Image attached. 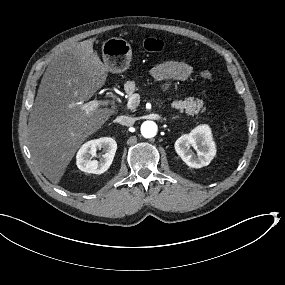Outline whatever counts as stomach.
<instances>
[{"mask_svg": "<svg viewBox=\"0 0 285 285\" xmlns=\"http://www.w3.org/2000/svg\"><path fill=\"white\" fill-rule=\"evenodd\" d=\"M104 64L112 73H121L128 69L132 58L131 45L122 38L112 37L102 45Z\"/></svg>", "mask_w": 285, "mask_h": 285, "instance_id": "stomach-1", "label": "stomach"}]
</instances>
